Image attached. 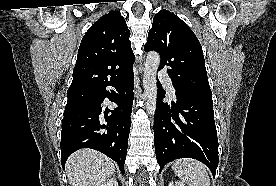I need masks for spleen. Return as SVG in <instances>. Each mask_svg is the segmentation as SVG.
Wrapping results in <instances>:
<instances>
[{
    "label": "spleen",
    "mask_w": 276,
    "mask_h": 186,
    "mask_svg": "<svg viewBox=\"0 0 276 186\" xmlns=\"http://www.w3.org/2000/svg\"><path fill=\"white\" fill-rule=\"evenodd\" d=\"M174 173L189 186H210L205 165L194 159H178L173 162Z\"/></svg>",
    "instance_id": "spleen-1"
}]
</instances>
